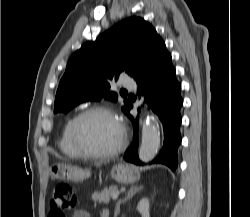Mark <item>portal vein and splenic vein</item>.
I'll return each instance as SVG.
<instances>
[{
	"instance_id": "portal-vein-and-splenic-vein-1",
	"label": "portal vein and splenic vein",
	"mask_w": 250,
	"mask_h": 217,
	"mask_svg": "<svg viewBox=\"0 0 250 217\" xmlns=\"http://www.w3.org/2000/svg\"><path fill=\"white\" fill-rule=\"evenodd\" d=\"M118 196H119V193H117V194H113V195H112V199H113V200H115V199H117V198H118Z\"/></svg>"
}]
</instances>
